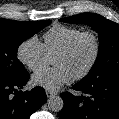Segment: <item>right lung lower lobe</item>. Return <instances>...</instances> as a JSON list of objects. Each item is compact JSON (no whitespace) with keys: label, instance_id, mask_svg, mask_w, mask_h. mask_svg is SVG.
<instances>
[{"label":"right lung lower lobe","instance_id":"98d812e1","mask_svg":"<svg viewBox=\"0 0 119 119\" xmlns=\"http://www.w3.org/2000/svg\"><path fill=\"white\" fill-rule=\"evenodd\" d=\"M28 80V72L18 78L0 80V119H29L45 103L47 98L42 87L17 91Z\"/></svg>","mask_w":119,"mask_h":119}]
</instances>
